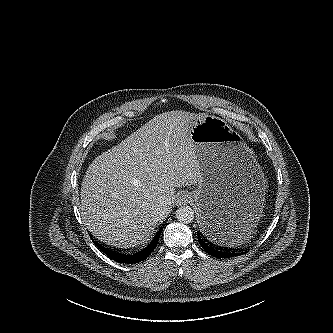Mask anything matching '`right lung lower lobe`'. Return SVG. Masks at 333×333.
Instances as JSON below:
<instances>
[{
  "label": "right lung lower lobe",
  "instance_id": "obj_1",
  "mask_svg": "<svg viewBox=\"0 0 333 333\" xmlns=\"http://www.w3.org/2000/svg\"><path fill=\"white\" fill-rule=\"evenodd\" d=\"M163 227L157 232L154 239L151 241V243L142 251L134 253V254H121L119 252H116L114 250L108 249L106 247H103L96 241H94L92 238L93 243L101 249L109 258L119 262V263H127V264H133L140 262L148 257V255L154 250V248L157 246L159 237L162 233Z\"/></svg>",
  "mask_w": 333,
  "mask_h": 333
}]
</instances>
